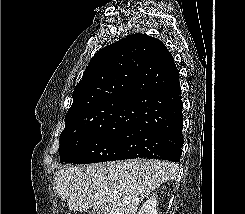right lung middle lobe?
Here are the masks:
<instances>
[{
	"label": "right lung middle lobe",
	"instance_id": "1",
	"mask_svg": "<svg viewBox=\"0 0 245 214\" xmlns=\"http://www.w3.org/2000/svg\"><path fill=\"white\" fill-rule=\"evenodd\" d=\"M130 128V122L121 121L95 128H69L59 139L61 163L87 164L114 161Z\"/></svg>",
	"mask_w": 245,
	"mask_h": 214
}]
</instances>
